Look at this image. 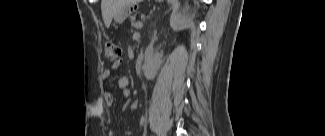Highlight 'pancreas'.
<instances>
[{
    "instance_id": "cf45deb5",
    "label": "pancreas",
    "mask_w": 325,
    "mask_h": 136,
    "mask_svg": "<svg viewBox=\"0 0 325 136\" xmlns=\"http://www.w3.org/2000/svg\"><path fill=\"white\" fill-rule=\"evenodd\" d=\"M145 15L144 9H137L136 12H133V15L131 17H128L127 22L128 24H135L137 22V19L140 18V16Z\"/></svg>"
}]
</instances>
